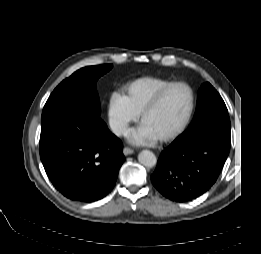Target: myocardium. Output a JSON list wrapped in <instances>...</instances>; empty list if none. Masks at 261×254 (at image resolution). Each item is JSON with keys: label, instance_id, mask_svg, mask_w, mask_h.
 <instances>
[{"label": "myocardium", "instance_id": "obj_1", "mask_svg": "<svg viewBox=\"0 0 261 254\" xmlns=\"http://www.w3.org/2000/svg\"><path fill=\"white\" fill-rule=\"evenodd\" d=\"M184 87L189 94V102H188V107L187 110L184 114V116L182 117L181 121L179 122V124L176 126V128H174L172 131L165 133V134H161L156 136V139L158 141H169L171 139H174L175 137H177L182 131L183 129L186 127L187 123L189 122L191 115L193 113L194 110V105H195V95L194 92L192 90V88L183 82H175V83H170L169 85H167L166 87H164L141 111L140 113V122L142 123L145 116L151 112L158 104L159 102L162 100V98L165 96V94L170 91L172 88L174 87Z\"/></svg>", "mask_w": 261, "mask_h": 254}]
</instances>
